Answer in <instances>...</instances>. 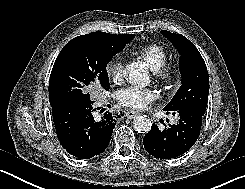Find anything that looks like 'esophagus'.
I'll list each match as a JSON object with an SVG mask.
<instances>
[{"label": "esophagus", "instance_id": "esophagus-1", "mask_svg": "<svg viewBox=\"0 0 245 189\" xmlns=\"http://www.w3.org/2000/svg\"><path fill=\"white\" fill-rule=\"evenodd\" d=\"M137 114H138V112L135 111V110H128V111L126 112V117L129 118V119H132V118H134Z\"/></svg>", "mask_w": 245, "mask_h": 189}]
</instances>
